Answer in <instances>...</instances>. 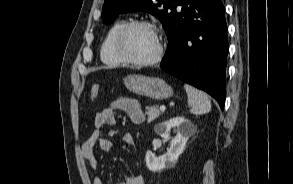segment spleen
Returning a JSON list of instances; mask_svg holds the SVG:
<instances>
[{"instance_id":"spleen-1","label":"spleen","mask_w":293,"mask_h":184,"mask_svg":"<svg viewBox=\"0 0 293 184\" xmlns=\"http://www.w3.org/2000/svg\"><path fill=\"white\" fill-rule=\"evenodd\" d=\"M184 89L188 96V106L192 114H206L211 110V102L203 91L185 84Z\"/></svg>"}]
</instances>
